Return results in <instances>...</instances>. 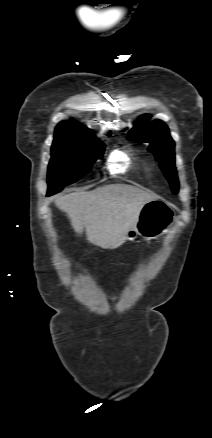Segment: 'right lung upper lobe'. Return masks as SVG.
<instances>
[{
    "label": "right lung upper lobe",
    "mask_w": 212,
    "mask_h": 438,
    "mask_svg": "<svg viewBox=\"0 0 212 438\" xmlns=\"http://www.w3.org/2000/svg\"><path fill=\"white\" fill-rule=\"evenodd\" d=\"M55 138L92 139L95 138L92 130L76 122H60L55 128Z\"/></svg>",
    "instance_id": "obj_1"
}]
</instances>
